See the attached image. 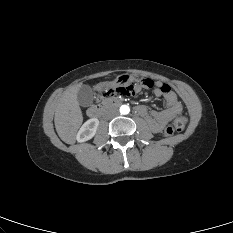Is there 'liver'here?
Segmentation results:
<instances>
[{"mask_svg": "<svg viewBox=\"0 0 233 233\" xmlns=\"http://www.w3.org/2000/svg\"><path fill=\"white\" fill-rule=\"evenodd\" d=\"M81 85L67 89L59 98L55 109V128L57 134L67 144L73 143L76 133L83 122L77 93Z\"/></svg>", "mask_w": 233, "mask_h": 233, "instance_id": "6515ba94", "label": "liver"}]
</instances>
